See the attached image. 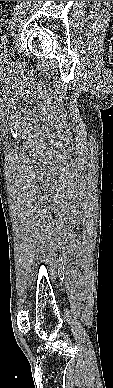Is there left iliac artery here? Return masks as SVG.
<instances>
[{
	"mask_svg": "<svg viewBox=\"0 0 113 388\" xmlns=\"http://www.w3.org/2000/svg\"><path fill=\"white\" fill-rule=\"evenodd\" d=\"M6 44V35H3L2 37H1V43H0V48H5V45Z\"/></svg>",
	"mask_w": 113,
	"mask_h": 388,
	"instance_id": "44dca946",
	"label": "left iliac artery"
}]
</instances>
